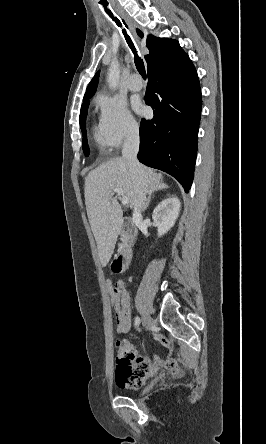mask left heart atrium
Masks as SVG:
<instances>
[{
	"label": "left heart atrium",
	"instance_id": "1",
	"mask_svg": "<svg viewBox=\"0 0 266 444\" xmlns=\"http://www.w3.org/2000/svg\"><path fill=\"white\" fill-rule=\"evenodd\" d=\"M135 109H136L138 112H141V111H142V108H141L139 105H136V106H135Z\"/></svg>",
	"mask_w": 266,
	"mask_h": 444
}]
</instances>
